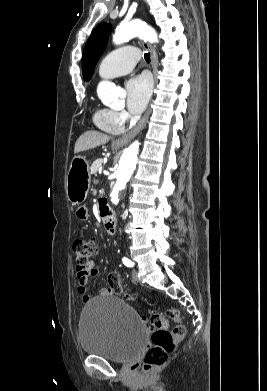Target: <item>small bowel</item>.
I'll return each mask as SVG.
<instances>
[{
	"mask_svg": "<svg viewBox=\"0 0 267 391\" xmlns=\"http://www.w3.org/2000/svg\"><path fill=\"white\" fill-rule=\"evenodd\" d=\"M77 217L79 219L85 220L88 217V211L85 207H79L77 209ZM98 274V269L92 264L89 268L85 270H79L76 268V278H77V290L81 295V299L83 302H88L90 300V296L87 293V284L91 277H94ZM101 296H108L112 294L108 288H102L100 290Z\"/></svg>",
	"mask_w": 267,
	"mask_h": 391,
	"instance_id": "c3829d8e",
	"label": "small bowel"
}]
</instances>
